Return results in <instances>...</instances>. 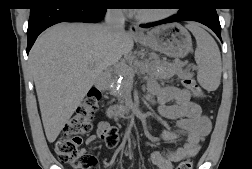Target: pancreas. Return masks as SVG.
I'll use <instances>...</instances> for the list:
<instances>
[{
  "label": "pancreas",
  "mask_w": 252,
  "mask_h": 169,
  "mask_svg": "<svg viewBox=\"0 0 252 169\" xmlns=\"http://www.w3.org/2000/svg\"><path fill=\"white\" fill-rule=\"evenodd\" d=\"M185 65L184 62L174 61L173 63L160 60V58L152 54L149 59L140 62L138 65L131 66L135 72H145L149 75H154L159 79L167 80L172 78L175 74H178L182 67ZM117 73H119L117 71ZM116 73H113L109 79L107 80L108 83L112 82L113 76ZM129 76H127L128 78ZM126 82L123 81L122 85ZM123 96H125V92L122 91ZM123 102V100L121 101Z\"/></svg>",
  "instance_id": "pancreas-1"
}]
</instances>
